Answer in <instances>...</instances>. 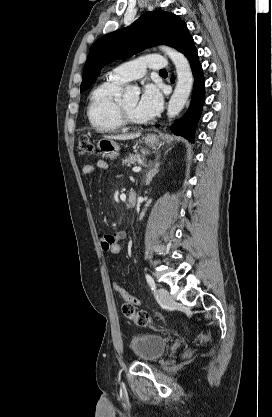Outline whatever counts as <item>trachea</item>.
<instances>
[{"mask_svg": "<svg viewBox=\"0 0 272 417\" xmlns=\"http://www.w3.org/2000/svg\"><path fill=\"white\" fill-rule=\"evenodd\" d=\"M159 73H167V71L165 69H162Z\"/></svg>", "mask_w": 272, "mask_h": 417, "instance_id": "trachea-1", "label": "trachea"}]
</instances>
